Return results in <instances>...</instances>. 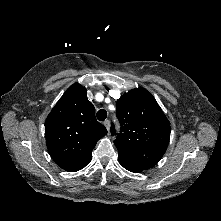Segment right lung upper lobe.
I'll return each instance as SVG.
<instances>
[{
    "label": "right lung upper lobe",
    "instance_id": "right-lung-upper-lobe-1",
    "mask_svg": "<svg viewBox=\"0 0 221 221\" xmlns=\"http://www.w3.org/2000/svg\"><path fill=\"white\" fill-rule=\"evenodd\" d=\"M106 134V128L95 118L87 89L79 83L68 88L45 122L49 154L69 172L79 171L90 163L93 148Z\"/></svg>",
    "mask_w": 221,
    "mask_h": 221
}]
</instances>
